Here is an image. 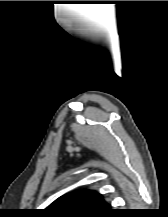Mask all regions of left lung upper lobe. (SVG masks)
I'll return each instance as SVG.
<instances>
[{
    "label": "left lung upper lobe",
    "instance_id": "left-lung-upper-lobe-1",
    "mask_svg": "<svg viewBox=\"0 0 168 217\" xmlns=\"http://www.w3.org/2000/svg\"><path fill=\"white\" fill-rule=\"evenodd\" d=\"M108 207L101 194L84 189L62 195L45 211L50 217H96L107 212Z\"/></svg>",
    "mask_w": 168,
    "mask_h": 217
}]
</instances>
